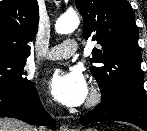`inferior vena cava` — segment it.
Here are the masks:
<instances>
[{
    "instance_id": "inferior-vena-cava-1",
    "label": "inferior vena cava",
    "mask_w": 147,
    "mask_h": 131,
    "mask_svg": "<svg viewBox=\"0 0 147 131\" xmlns=\"http://www.w3.org/2000/svg\"><path fill=\"white\" fill-rule=\"evenodd\" d=\"M39 131H46V127L41 126Z\"/></svg>"
}]
</instances>
